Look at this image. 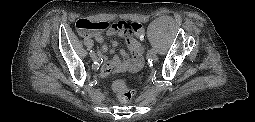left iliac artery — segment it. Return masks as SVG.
I'll return each instance as SVG.
<instances>
[{
  "mask_svg": "<svg viewBox=\"0 0 255 122\" xmlns=\"http://www.w3.org/2000/svg\"><path fill=\"white\" fill-rule=\"evenodd\" d=\"M150 53H151V54H156V53H157V50L154 49V48H152V49L150 50Z\"/></svg>",
  "mask_w": 255,
  "mask_h": 122,
  "instance_id": "obj_1",
  "label": "left iliac artery"
}]
</instances>
